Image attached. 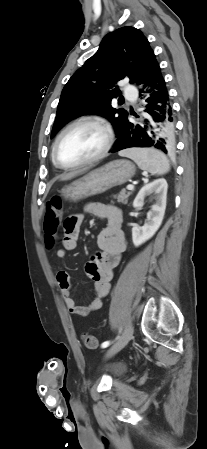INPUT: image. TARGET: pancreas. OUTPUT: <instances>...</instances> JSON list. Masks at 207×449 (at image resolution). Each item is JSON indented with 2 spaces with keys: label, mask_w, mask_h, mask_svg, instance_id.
I'll list each match as a JSON object with an SVG mask.
<instances>
[{
  "label": "pancreas",
  "mask_w": 207,
  "mask_h": 449,
  "mask_svg": "<svg viewBox=\"0 0 207 449\" xmlns=\"http://www.w3.org/2000/svg\"><path fill=\"white\" fill-rule=\"evenodd\" d=\"M131 192H126L124 189L121 190V192L116 196H114V198H117V202L118 203H122V204H126L128 201V197L131 195Z\"/></svg>",
  "instance_id": "pancreas-1"
}]
</instances>
